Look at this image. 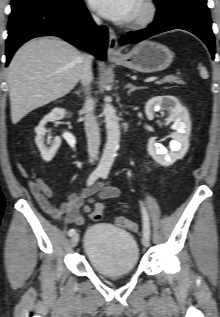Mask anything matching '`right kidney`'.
Wrapping results in <instances>:
<instances>
[{"label": "right kidney", "instance_id": "obj_1", "mask_svg": "<svg viewBox=\"0 0 220 317\" xmlns=\"http://www.w3.org/2000/svg\"><path fill=\"white\" fill-rule=\"evenodd\" d=\"M66 111L61 108H54L49 114L45 115L40 121L39 125L35 128L36 137L35 143L41 153V157L44 161H51L55 156L58 148L61 145V138L56 136L53 140V144L50 148H47L44 144V136L47 132L45 125L48 122H53L64 118Z\"/></svg>", "mask_w": 220, "mask_h": 317}]
</instances>
